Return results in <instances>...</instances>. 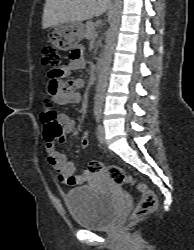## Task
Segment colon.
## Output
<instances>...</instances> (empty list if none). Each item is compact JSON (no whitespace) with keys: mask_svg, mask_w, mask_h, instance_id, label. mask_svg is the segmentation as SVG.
I'll use <instances>...</instances> for the list:
<instances>
[{"mask_svg":"<svg viewBox=\"0 0 194 250\" xmlns=\"http://www.w3.org/2000/svg\"><path fill=\"white\" fill-rule=\"evenodd\" d=\"M80 50L74 49L71 52L70 58L78 59L80 57ZM41 62L43 65L54 68L52 75L61 76L62 72L59 70L61 58L57 50L53 46H44L42 49ZM80 144L83 148L88 147V140L85 137L81 138ZM88 170L97 175H102L117 185L132 184L136 185L141 197L139 204L133 214V218H140L152 214L157 206V199L155 193L143 182L136 181L132 176L128 175L126 171L115 165H104L103 163L92 160L88 163Z\"/></svg>","mask_w":194,"mask_h":250,"instance_id":"colon-1","label":"colon"}]
</instances>
